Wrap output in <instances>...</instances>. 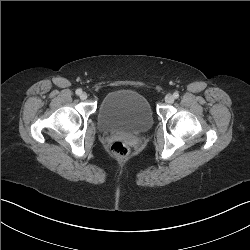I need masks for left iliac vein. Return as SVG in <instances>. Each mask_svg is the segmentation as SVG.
<instances>
[{"mask_svg":"<svg viewBox=\"0 0 250 250\" xmlns=\"http://www.w3.org/2000/svg\"><path fill=\"white\" fill-rule=\"evenodd\" d=\"M165 102L168 104H171L174 102V96L172 94H167L165 96Z\"/></svg>","mask_w":250,"mask_h":250,"instance_id":"4c4485c4","label":"left iliac vein"}]
</instances>
